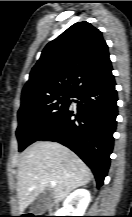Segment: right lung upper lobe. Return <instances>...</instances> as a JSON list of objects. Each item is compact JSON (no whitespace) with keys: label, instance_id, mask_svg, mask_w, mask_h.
Wrapping results in <instances>:
<instances>
[{"label":"right lung upper lobe","instance_id":"right-lung-upper-lobe-1","mask_svg":"<svg viewBox=\"0 0 132 217\" xmlns=\"http://www.w3.org/2000/svg\"><path fill=\"white\" fill-rule=\"evenodd\" d=\"M108 46L102 33L78 22L46 45L22 91L27 96L51 95L102 84L113 77Z\"/></svg>","mask_w":132,"mask_h":217}]
</instances>
